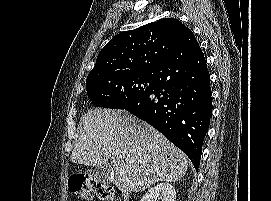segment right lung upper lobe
I'll return each instance as SVG.
<instances>
[{
  "label": "right lung upper lobe",
  "instance_id": "obj_1",
  "mask_svg": "<svg viewBox=\"0 0 271 201\" xmlns=\"http://www.w3.org/2000/svg\"><path fill=\"white\" fill-rule=\"evenodd\" d=\"M191 32L179 20L163 18L115 35L99 52L87 78L120 73H154Z\"/></svg>",
  "mask_w": 271,
  "mask_h": 201
}]
</instances>
